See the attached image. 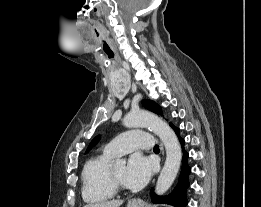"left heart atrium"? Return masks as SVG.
<instances>
[{"instance_id":"left-heart-atrium-1","label":"left heart atrium","mask_w":261,"mask_h":207,"mask_svg":"<svg viewBox=\"0 0 261 207\" xmlns=\"http://www.w3.org/2000/svg\"><path fill=\"white\" fill-rule=\"evenodd\" d=\"M154 169V162L142 155L134 154L128 160L124 175V183L129 188H140L144 186Z\"/></svg>"}]
</instances>
